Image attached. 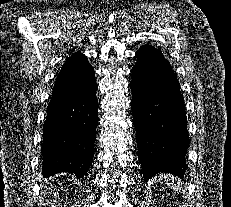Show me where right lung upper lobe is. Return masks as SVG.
I'll use <instances>...</instances> for the list:
<instances>
[{
    "instance_id": "1",
    "label": "right lung upper lobe",
    "mask_w": 231,
    "mask_h": 207,
    "mask_svg": "<svg viewBox=\"0 0 231 207\" xmlns=\"http://www.w3.org/2000/svg\"><path fill=\"white\" fill-rule=\"evenodd\" d=\"M86 59L87 58L85 56H83L81 53L77 52V53L73 54L71 57H69L66 60V63L64 65L65 66H74V64L80 63Z\"/></svg>"
}]
</instances>
